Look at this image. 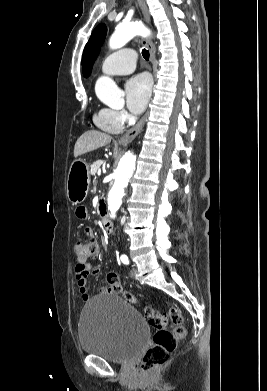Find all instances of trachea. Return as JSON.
Masks as SVG:
<instances>
[{
	"instance_id": "3493384b",
	"label": "trachea",
	"mask_w": 267,
	"mask_h": 391,
	"mask_svg": "<svg viewBox=\"0 0 267 391\" xmlns=\"http://www.w3.org/2000/svg\"><path fill=\"white\" fill-rule=\"evenodd\" d=\"M142 56L145 60H149V51L146 49H142Z\"/></svg>"
}]
</instances>
